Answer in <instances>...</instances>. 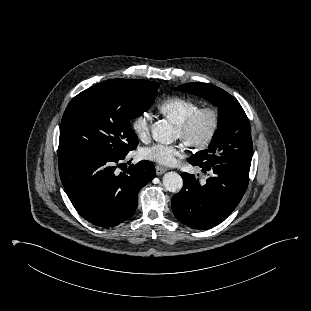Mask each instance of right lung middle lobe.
<instances>
[{
    "instance_id": "right-lung-middle-lobe-1",
    "label": "right lung middle lobe",
    "mask_w": 311,
    "mask_h": 311,
    "mask_svg": "<svg viewBox=\"0 0 311 311\" xmlns=\"http://www.w3.org/2000/svg\"><path fill=\"white\" fill-rule=\"evenodd\" d=\"M158 87L146 80L112 79L78 94L62 118L58 157L124 158L138 145L130 121L150 108Z\"/></svg>"
}]
</instances>
